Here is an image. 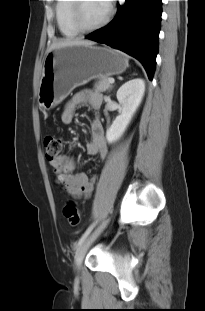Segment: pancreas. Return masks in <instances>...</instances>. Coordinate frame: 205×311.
<instances>
[{"label":"pancreas","mask_w":205,"mask_h":311,"mask_svg":"<svg viewBox=\"0 0 205 311\" xmlns=\"http://www.w3.org/2000/svg\"><path fill=\"white\" fill-rule=\"evenodd\" d=\"M94 88L97 92H105L112 88V84L109 83L108 77H102L98 82L95 83Z\"/></svg>","instance_id":"cf45deb5"}]
</instances>
